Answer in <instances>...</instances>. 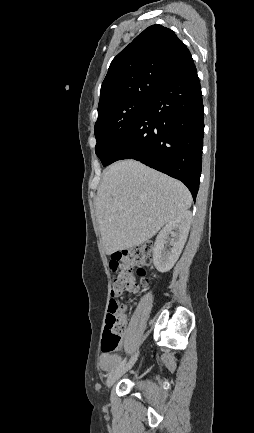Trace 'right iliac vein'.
Here are the masks:
<instances>
[{
  "instance_id": "obj_1",
  "label": "right iliac vein",
  "mask_w": 254,
  "mask_h": 433,
  "mask_svg": "<svg viewBox=\"0 0 254 433\" xmlns=\"http://www.w3.org/2000/svg\"><path fill=\"white\" fill-rule=\"evenodd\" d=\"M138 354L136 353L134 356L131 357L129 362L123 366L122 368L115 370L107 379L106 385L108 388H111L113 384L124 374L126 373L135 363L137 359Z\"/></svg>"
}]
</instances>
